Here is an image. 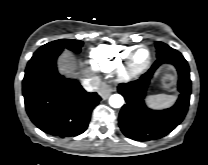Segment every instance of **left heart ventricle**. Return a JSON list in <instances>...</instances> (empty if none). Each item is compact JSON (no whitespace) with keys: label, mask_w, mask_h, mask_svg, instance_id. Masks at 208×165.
<instances>
[{"label":"left heart ventricle","mask_w":208,"mask_h":165,"mask_svg":"<svg viewBox=\"0 0 208 165\" xmlns=\"http://www.w3.org/2000/svg\"><path fill=\"white\" fill-rule=\"evenodd\" d=\"M148 57V52L146 50H141L138 54H137V62L139 63H143Z\"/></svg>","instance_id":"obj_1"}]
</instances>
